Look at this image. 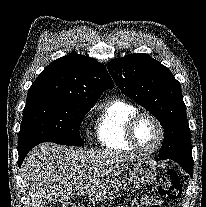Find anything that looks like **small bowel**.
Here are the masks:
<instances>
[{
  "label": "small bowel",
  "mask_w": 206,
  "mask_h": 207,
  "mask_svg": "<svg viewBox=\"0 0 206 207\" xmlns=\"http://www.w3.org/2000/svg\"><path fill=\"white\" fill-rule=\"evenodd\" d=\"M161 201L157 198L143 197L140 200L131 202L130 207H159Z\"/></svg>",
  "instance_id": "1"
}]
</instances>
